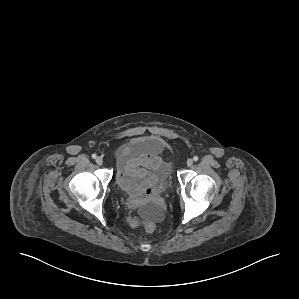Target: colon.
<instances>
[{
  "mask_svg": "<svg viewBox=\"0 0 299 299\" xmlns=\"http://www.w3.org/2000/svg\"><path fill=\"white\" fill-rule=\"evenodd\" d=\"M129 222L134 225H144L148 232H152L154 230V224L152 222L143 221L136 216L130 217Z\"/></svg>",
  "mask_w": 299,
  "mask_h": 299,
  "instance_id": "obj_1",
  "label": "colon"
}]
</instances>
